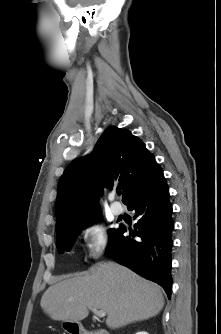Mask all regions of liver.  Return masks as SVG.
<instances>
[{
    "label": "liver",
    "mask_w": 221,
    "mask_h": 334,
    "mask_svg": "<svg viewBox=\"0 0 221 334\" xmlns=\"http://www.w3.org/2000/svg\"><path fill=\"white\" fill-rule=\"evenodd\" d=\"M40 305L53 320L71 323L83 320L88 308L95 307L107 313L106 325L117 329L157 315L164 297L155 283L108 261L50 286Z\"/></svg>",
    "instance_id": "1"
}]
</instances>
